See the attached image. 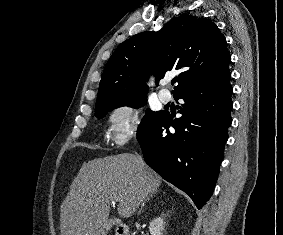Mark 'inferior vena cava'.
Wrapping results in <instances>:
<instances>
[{
	"instance_id": "inferior-vena-cava-1",
	"label": "inferior vena cava",
	"mask_w": 283,
	"mask_h": 235,
	"mask_svg": "<svg viewBox=\"0 0 283 235\" xmlns=\"http://www.w3.org/2000/svg\"><path fill=\"white\" fill-rule=\"evenodd\" d=\"M138 159H139V161H140V162H142V161H143V160H142V157H141V156H139V155H138Z\"/></svg>"
}]
</instances>
